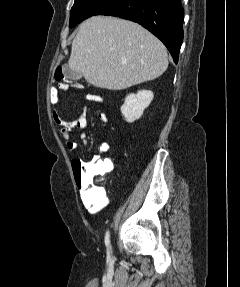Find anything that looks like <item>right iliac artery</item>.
Here are the masks:
<instances>
[{
    "label": "right iliac artery",
    "mask_w": 240,
    "mask_h": 287,
    "mask_svg": "<svg viewBox=\"0 0 240 287\" xmlns=\"http://www.w3.org/2000/svg\"><path fill=\"white\" fill-rule=\"evenodd\" d=\"M105 245L107 247V253L109 255V250L111 249V244H110V232L107 231L105 235Z\"/></svg>",
    "instance_id": "1"
}]
</instances>
